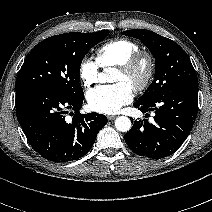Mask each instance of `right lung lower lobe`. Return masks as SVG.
<instances>
[{
  "label": "right lung lower lobe",
  "mask_w": 212,
  "mask_h": 212,
  "mask_svg": "<svg viewBox=\"0 0 212 212\" xmlns=\"http://www.w3.org/2000/svg\"><path fill=\"white\" fill-rule=\"evenodd\" d=\"M84 95L70 98L61 93L32 88L16 91V114L32 148L53 162L77 160L92 148L97 133L107 123L98 113L82 115ZM72 109V122L65 120Z\"/></svg>",
  "instance_id": "1"
}]
</instances>
